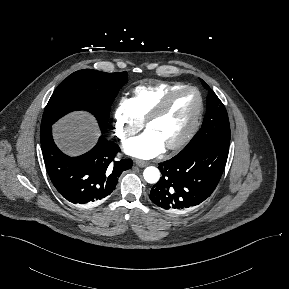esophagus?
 Listing matches in <instances>:
<instances>
[{"label": "esophagus", "mask_w": 289, "mask_h": 289, "mask_svg": "<svg viewBox=\"0 0 289 289\" xmlns=\"http://www.w3.org/2000/svg\"><path fill=\"white\" fill-rule=\"evenodd\" d=\"M149 163L146 162V161H142V160H137L136 161V165L139 166V167H145L147 166Z\"/></svg>", "instance_id": "1"}]
</instances>
